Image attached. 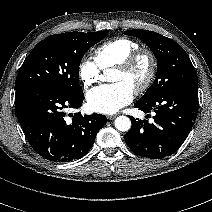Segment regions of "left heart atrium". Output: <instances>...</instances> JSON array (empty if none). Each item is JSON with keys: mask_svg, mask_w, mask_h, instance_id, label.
Segmentation results:
<instances>
[{"mask_svg": "<svg viewBox=\"0 0 212 212\" xmlns=\"http://www.w3.org/2000/svg\"><path fill=\"white\" fill-rule=\"evenodd\" d=\"M134 97V89L124 82L97 86L86 95L88 107L95 112L112 114L129 104Z\"/></svg>", "mask_w": 212, "mask_h": 212, "instance_id": "1", "label": "left heart atrium"}]
</instances>
